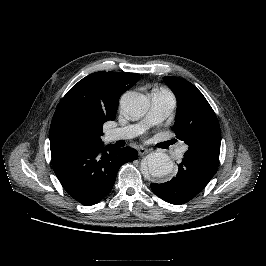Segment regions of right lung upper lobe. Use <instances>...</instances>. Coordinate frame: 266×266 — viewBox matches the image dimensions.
Returning a JSON list of instances; mask_svg holds the SVG:
<instances>
[{
  "instance_id": "right-lung-upper-lobe-1",
  "label": "right lung upper lobe",
  "mask_w": 266,
  "mask_h": 266,
  "mask_svg": "<svg viewBox=\"0 0 266 266\" xmlns=\"http://www.w3.org/2000/svg\"><path fill=\"white\" fill-rule=\"evenodd\" d=\"M139 74L95 72L76 85L59 102L49 138L50 149L102 143L103 124L114 120L118 101Z\"/></svg>"
}]
</instances>
